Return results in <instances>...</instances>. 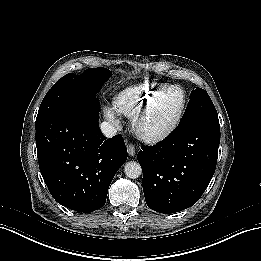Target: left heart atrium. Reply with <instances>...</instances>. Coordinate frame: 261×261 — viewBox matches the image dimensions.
Returning <instances> with one entry per match:
<instances>
[{
  "label": "left heart atrium",
  "mask_w": 261,
  "mask_h": 261,
  "mask_svg": "<svg viewBox=\"0 0 261 261\" xmlns=\"http://www.w3.org/2000/svg\"><path fill=\"white\" fill-rule=\"evenodd\" d=\"M147 128L140 126L137 129L138 136L141 137V139H143L145 142H152L156 139V134L152 130H148Z\"/></svg>",
  "instance_id": "obj_1"
}]
</instances>
